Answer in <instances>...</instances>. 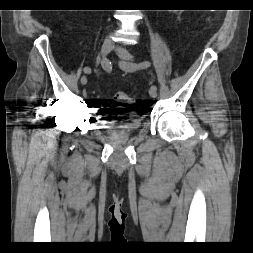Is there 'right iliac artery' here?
Instances as JSON below:
<instances>
[{"mask_svg":"<svg viewBox=\"0 0 253 253\" xmlns=\"http://www.w3.org/2000/svg\"><path fill=\"white\" fill-rule=\"evenodd\" d=\"M101 65H102L103 69H105L107 71H110L111 66H110V63L108 62V60L106 58L102 59ZM83 74L84 75H91L92 74L91 68L90 67H84L83 68Z\"/></svg>","mask_w":253,"mask_h":253,"instance_id":"right-iliac-artery-1","label":"right iliac artery"}]
</instances>
